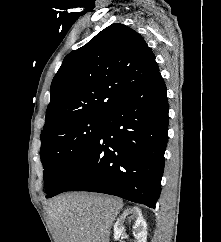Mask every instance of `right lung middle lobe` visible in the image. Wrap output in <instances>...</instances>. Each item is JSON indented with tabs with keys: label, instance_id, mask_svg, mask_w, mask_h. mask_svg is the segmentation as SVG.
I'll use <instances>...</instances> for the list:
<instances>
[{
	"label": "right lung middle lobe",
	"instance_id": "dd1d6c3e",
	"mask_svg": "<svg viewBox=\"0 0 221 242\" xmlns=\"http://www.w3.org/2000/svg\"><path fill=\"white\" fill-rule=\"evenodd\" d=\"M103 121V116L83 117L41 135L40 157L47 198L69 164L96 136Z\"/></svg>",
	"mask_w": 221,
	"mask_h": 242
}]
</instances>
